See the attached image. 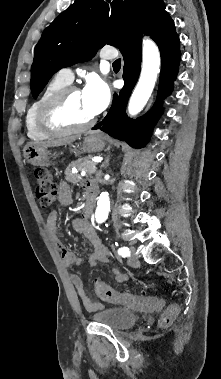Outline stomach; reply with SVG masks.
Here are the masks:
<instances>
[{"mask_svg":"<svg viewBox=\"0 0 221 379\" xmlns=\"http://www.w3.org/2000/svg\"><path fill=\"white\" fill-rule=\"evenodd\" d=\"M106 143L102 135L97 133H89L86 135L81 152H99L104 149ZM24 157L28 163L33 166H50L53 164V155L50 150L45 147L27 144L24 147Z\"/></svg>","mask_w":221,"mask_h":379,"instance_id":"0dacf381","label":"stomach"}]
</instances>
